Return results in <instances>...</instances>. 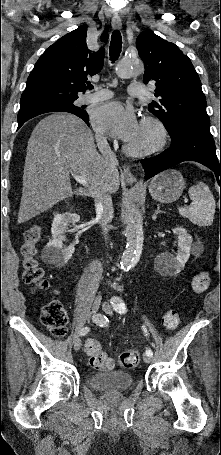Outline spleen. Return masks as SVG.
Instances as JSON below:
<instances>
[{"label": "spleen", "instance_id": "spleen-1", "mask_svg": "<svg viewBox=\"0 0 221 455\" xmlns=\"http://www.w3.org/2000/svg\"><path fill=\"white\" fill-rule=\"evenodd\" d=\"M192 205L187 209L179 207V214L198 226H210L214 220L215 199L209 187L203 182H197L189 189Z\"/></svg>", "mask_w": 221, "mask_h": 455}]
</instances>
